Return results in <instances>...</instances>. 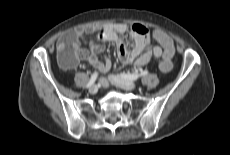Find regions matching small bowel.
<instances>
[{
	"mask_svg": "<svg viewBox=\"0 0 230 155\" xmlns=\"http://www.w3.org/2000/svg\"><path fill=\"white\" fill-rule=\"evenodd\" d=\"M126 31V26L118 24L115 26H98L92 25L87 27L76 28L58 41V45L62 43L72 42V45L77 48L84 42L86 34H97L102 41L112 42L116 45L117 54L122 63L134 62L138 66L148 64L152 57L160 58L164 53L171 49L174 52V44L172 39L162 30L156 29L153 31V38L159 45L150 44V34L146 26L142 24H134L131 28V38L134 45L132 49H128L121 35ZM89 57L88 63L91 67L100 72H107L111 68V61L108 58L100 59L98 57L101 47L98 42L91 40L88 43ZM103 87H107L108 83L105 80L101 81Z\"/></svg>",
	"mask_w": 230,
	"mask_h": 155,
	"instance_id": "1",
	"label": "small bowel"
}]
</instances>
